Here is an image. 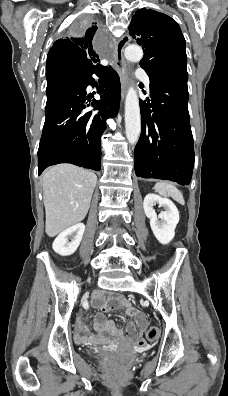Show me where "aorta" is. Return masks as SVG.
I'll use <instances>...</instances> for the list:
<instances>
[{
	"label": "aorta",
	"instance_id": "762f6f07",
	"mask_svg": "<svg viewBox=\"0 0 228 396\" xmlns=\"http://www.w3.org/2000/svg\"><path fill=\"white\" fill-rule=\"evenodd\" d=\"M125 58L131 62H139L143 57L142 48L137 45H129L124 51ZM125 128L129 143H137L141 132L140 106L137 92L130 86L125 98Z\"/></svg>",
	"mask_w": 228,
	"mask_h": 396
}]
</instances>
